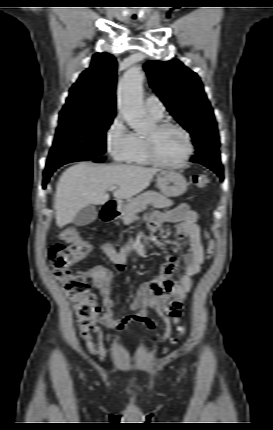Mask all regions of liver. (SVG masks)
I'll list each match as a JSON object with an SVG mask.
<instances>
[{
    "mask_svg": "<svg viewBox=\"0 0 273 430\" xmlns=\"http://www.w3.org/2000/svg\"><path fill=\"white\" fill-rule=\"evenodd\" d=\"M158 169L134 165H92L80 162L66 169L59 179L54 199L56 224L71 223L88 205H101L109 200L107 190L117 186L113 196L129 199L151 183Z\"/></svg>",
    "mask_w": 273,
    "mask_h": 430,
    "instance_id": "liver-1",
    "label": "liver"
}]
</instances>
